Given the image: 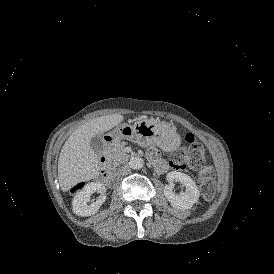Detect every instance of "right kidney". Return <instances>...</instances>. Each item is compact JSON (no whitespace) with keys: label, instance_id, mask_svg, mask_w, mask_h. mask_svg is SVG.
Returning a JSON list of instances; mask_svg holds the SVG:
<instances>
[{"label":"right kidney","instance_id":"right-kidney-1","mask_svg":"<svg viewBox=\"0 0 274 274\" xmlns=\"http://www.w3.org/2000/svg\"><path fill=\"white\" fill-rule=\"evenodd\" d=\"M99 192L101 196L95 201L90 202V195ZM107 188L100 182H91L85 185L73 199V211L80 216L93 215L98 211L100 206L107 200ZM90 202V204H87Z\"/></svg>","mask_w":274,"mask_h":274}]
</instances>
